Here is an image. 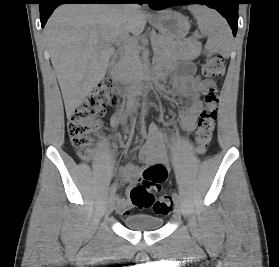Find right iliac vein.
Segmentation results:
<instances>
[{
    "mask_svg": "<svg viewBox=\"0 0 279 267\" xmlns=\"http://www.w3.org/2000/svg\"><path fill=\"white\" fill-rule=\"evenodd\" d=\"M114 206H115V196H111L108 199V203H107V214H111L113 212Z\"/></svg>",
    "mask_w": 279,
    "mask_h": 267,
    "instance_id": "1",
    "label": "right iliac vein"
}]
</instances>
